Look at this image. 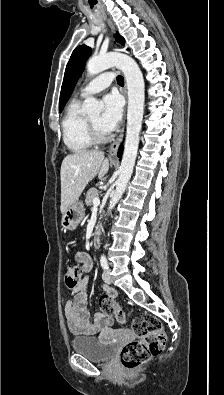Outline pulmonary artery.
<instances>
[{"label":"pulmonary artery","mask_w":224,"mask_h":395,"mask_svg":"<svg viewBox=\"0 0 224 395\" xmlns=\"http://www.w3.org/2000/svg\"><path fill=\"white\" fill-rule=\"evenodd\" d=\"M113 80L114 76L111 72L100 74L90 80L84 87L81 88L80 96L84 98L90 95L97 94L100 91L109 87Z\"/></svg>","instance_id":"1"}]
</instances>
